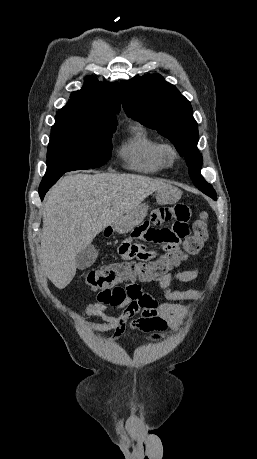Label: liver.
<instances>
[{"label":"liver","instance_id":"1","mask_svg":"<svg viewBox=\"0 0 257 459\" xmlns=\"http://www.w3.org/2000/svg\"><path fill=\"white\" fill-rule=\"evenodd\" d=\"M167 182L134 174H76L52 188L43 207L40 263L65 288L76 274V255L106 227Z\"/></svg>","mask_w":257,"mask_h":459}]
</instances>
